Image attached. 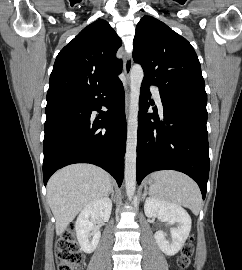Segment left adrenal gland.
I'll list each match as a JSON object with an SVG mask.
<instances>
[{
	"label": "left adrenal gland",
	"mask_w": 242,
	"mask_h": 270,
	"mask_svg": "<svg viewBox=\"0 0 242 270\" xmlns=\"http://www.w3.org/2000/svg\"><path fill=\"white\" fill-rule=\"evenodd\" d=\"M147 193H148V192H147V189L145 188V189H144L143 196H142V199H143V200L145 199V196L147 195Z\"/></svg>",
	"instance_id": "left-adrenal-gland-1"
}]
</instances>
